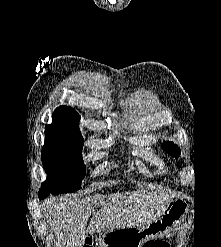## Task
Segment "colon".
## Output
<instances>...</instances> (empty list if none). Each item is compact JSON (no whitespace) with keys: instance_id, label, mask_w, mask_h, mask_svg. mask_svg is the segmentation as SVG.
<instances>
[{"instance_id":"obj_1","label":"colon","mask_w":221,"mask_h":247,"mask_svg":"<svg viewBox=\"0 0 221 247\" xmlns=\"http://www.w3.org/2000/svg\"><path fill=\"white\" fill-rule=\"evenodd\" d=\"M158 246H163V247H169V244L167 242L164 243H152V242H146L143 247H158ZM84 247H93V244L91 242H87Z\"/></svg>"}]
</instances>
